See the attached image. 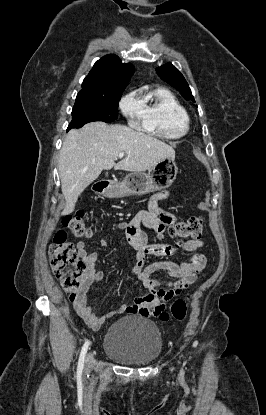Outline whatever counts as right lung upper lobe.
Listing matches in <instances>:
<instances>
[{
    "mask_svg": "<svg viewBox=\"0 0 266 415\" xmlns=\"http://www.w3.org/2000/svg\"><path fill=\"white\" fill-rule=\"evenodd\" d=\"M133 73L132 64L122 63L114 54L106 55L94 64L78 94L111 95L123 92Z\"/></svg>",
    "mask_w": 266,
    "mask_h": 415,
    "instance_id": "right-lung-upper-lobe-1",
    "label": "right lung upper lobe"
}]
</instances>
